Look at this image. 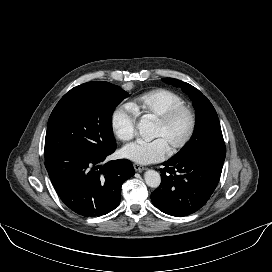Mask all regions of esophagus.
Segmentation results:
<instances>
[{"mask_svg": "<svg viewBox=\"0 0 272 272\" xmlns=\"http://www.w3.org/2000/svg\"><path fill=\"white\" fill-rule=\"evenodd\" d=\"M133 166H134L135 171H137V172H142L145 170V167H143L141 165L134 164Z\"/></svg>", "mask_w": 272, "mask_h": 272, "instance_id": "34e87169", "label": "esophagus"}]
</instances>
